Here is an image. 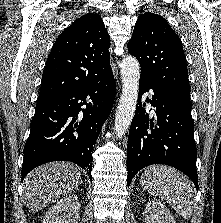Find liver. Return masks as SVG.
<instances>
[{
    "instance_id": "liver-1",
    "label": "liver",
    "mask_w": 221,
    "mask_h": 223,
    "mask_svg": "<svg viewBox=\"0 0 221 223\" xmlns=\"http://www.w3.org/2000/svg\"><path fill=\"white\" fill-rule=\"evenodd\" d=\"M81 174L70 162H52L31 171L24 180V197L30 213H36L80 184Z\"/></svg>"
}]
</instances>
